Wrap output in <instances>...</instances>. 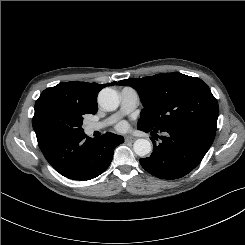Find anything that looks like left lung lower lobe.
Wrapping results in <instances>:
<instances>
[{"label":"left lung lower lobe","instance_id":"left-lung-lower-lobe-1","mask_svg":"<svg viewBox=\"0 0 245 245\" xmlns=\"http://www.w3.org/2000/svg\"><path fill=\"white\" fill-rule=\"evenodd\" d=\"M161 139H152L154 150L150 157L141 158L142 167L160 179H178L198 166L213 143L216 130L203 125L186 123L161 130H142ZM156 138V137H155Z\"/></svg>","mask_w":245,"mask_h":245}]
</instances>
